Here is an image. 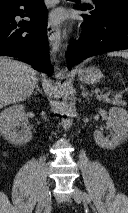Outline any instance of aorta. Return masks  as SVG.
<instances>
[{
    "instance_id": "1",
    "label": "aorta",
    "mask_w": 128,
    "mask_h": 213,
    "mask_svg": "<svg viewBox=\"0 0 128 213\" xmlns=\"http://www.w3.org/2000/svg\"><path fill=\"white\" fill-rule=\"evenodd\" d=\"M60 41L56 40L51 49V61H55V53L59 49ZM62 76V72L58 71L56 73V77L60 78ZM59 96L61 98V102L59 105L60 115L62 118V126L64 129H69L72 126L73 120L71 117L76 113L75 103L73 101V89L69 84H63L59 90ZM65 116V117H64Z\"/></svg>"
}]
</instances>
